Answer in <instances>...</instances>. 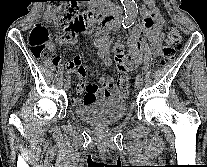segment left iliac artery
Wrapping results in <instances>:
<instances>
[{"instance_id": "obj_1", "label": "left iliac artery", "mask_w": 207, "mask_h": 167, "mask_svg": "<svg viewBox=\"0 0 207 167\" xmlns=\"http://www.w3.org/2000/svg\"><path fill=\"white\" fill-rule=\"evenodd\" d=\"M136 79H137V80H143V78H142V76H141L140 74H138V75L136 76Z\"/></svg>"}]
</instances>
